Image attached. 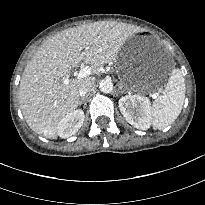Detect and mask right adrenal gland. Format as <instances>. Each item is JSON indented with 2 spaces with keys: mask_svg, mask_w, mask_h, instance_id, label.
Masks as SVG:
<instances>
[{
  "mask_svg": "<svg viewBox=\"0 0 205 205\" xmlns=\"http://www.w3.org/2000/svg\"><path fill=\"white\" fill-rule=\"evenodd\" d=\"M84 101H85V98L83 97L80 99L79 104L81 105Z\"/></svg>",
  "mask_w": 205,
  "mask_h": 205,
  "instance_id": "obj_1",
  "label": "right adrenal gland"
}]
</instances>
